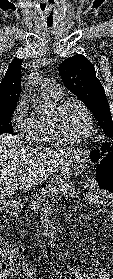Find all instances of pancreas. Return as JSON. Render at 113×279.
Listing matches in <instances>:
<instances>
[{"mask_svg": "<svg viewBox=\"0 0 113 279\" xmlns=\"http://www.w3.org/2000/svg\"><path fill=\"white\" fill-rule=\"evenodd\" d=\"M67 184L68 181L62 178H55L48 186H46V188L41 190L40 194H37L34 197L30 207L34 210H37L38 208L46 206L48 197L59 193L60 191L63 192L64 195L72 197L75 194V187L72 185V183L69 185Z\"/></svg>", "mask_w": 113, "mask_h": 279, "instance_id": "pancreas-1", "label": "pancreas"}]
</instances>
